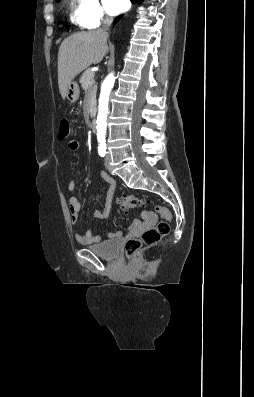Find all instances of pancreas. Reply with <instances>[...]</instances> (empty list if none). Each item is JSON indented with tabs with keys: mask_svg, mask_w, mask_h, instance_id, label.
Listing matches in <instances>:
<instances>
[{
	"mask_svg": "<svg viewBox=\"0 0 254 397\" xmlns=\"http://www.w3.org/2000/svg\"><path fill=\"white\" fill-rule=\"evenodd\" d=\"M94 75L95 73L91 69H87L80 77L81 87L85 91L86 97L89 99L92 110L95 109L97 90V85L94 81ZM91 114H93V111Z\"/></svg>",
	"mask_w": 254,
	"mask_h": 397,
	"instance_id": "1",
	"label": "pancreas"
}]
</instances>
